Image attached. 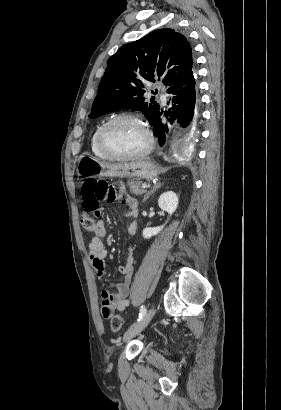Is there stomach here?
<instances>
[{
  "label": "stomach",
  "mask_w": 281,
  "mask_h": 410,
  "mask_svg": "<svg viewBox=\"0 0 281 410\" xmlns=\"http://www.w3.org/2000/svg\"><path fill=\"white\" fill-rule=\"evenodd\" d=\"M76 170L77 174L82 177L96 175L152 179L158 175L156 166L148 160H139L124 164H110L102 162L91 155H81L78 159Z\"/></svg>",
  "instance_id": "obj_1"
}]
</instances>
